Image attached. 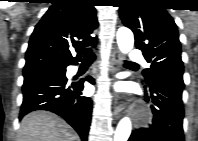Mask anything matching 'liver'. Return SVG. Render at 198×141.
Instances as JSON below:
<instances>
[{
  "label": "liver",
  "instance_id": "obj_1",
  "mask_svg": "<svg viewBox=\"0 0 198 141\" xmlns=\"http://www.w3.org/2000/svg\"><path fill=\"white\" fill-rule=\"evenodd\" d=\"M76 132L59 116L47 111L26 115L18 131L17 141H77Z\"/></svg>",
  "mask_w": 198,
  "mask_h": 141
}]
</instances>
